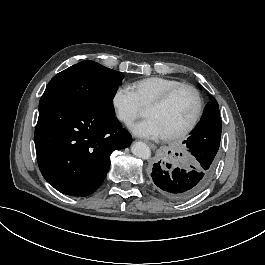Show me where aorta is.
<instances>
[{
  "label": "aorta",
  "instance_id": "1",
  "mask_svg": "<svg viewBox=\"0 0 265 265\" xmlns=\"http://www.w3.org/2000/svg\"><path fill=\"white\" fill-rule=\"evenodd\" d=\"M131 152L138 158L149 159L151 156V150L144 142H135L131 146Z\"/></svg>",
  "mask_w": 265,
  "mask_h": 265
}]
</instances>
